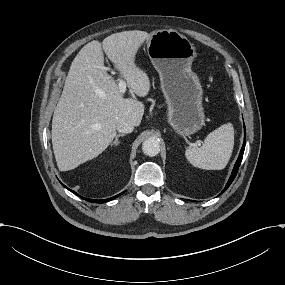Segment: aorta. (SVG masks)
<instances>
[{"label": "aorta", "instance_id": "aorta-1", "mask_svg": "<svg viewBox=\"0 0 285 285\" xmlns=\"http://www.w3.org/2000/svg\"><path fill=\"white\" fill-rule=\"evenodd\" d=\"M142 151L145 155L154 157L160 151V145L155 137L146 139L142 144Z\"/></svg>", "mask_w": 285, "mask_h": 285}]
</instances>
